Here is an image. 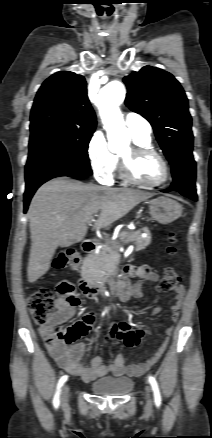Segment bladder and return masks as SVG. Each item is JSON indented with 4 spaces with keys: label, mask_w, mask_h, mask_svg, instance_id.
<instances>
[{
    "label": "bladder",
    "mask_w": 212,
    "mask_h": 438,
    "mask_svg": "<svg viewBox=\"0 0 212 438\" xmlns=\"http://www.w3.org/2000/svg\"><path fill=\"white\" fill-rule=\"evenodd\" d=\"M133 387L130 378L102 377L94 381L90 389L93 393L103 396H120L127 394Z\"/></svg>",
    "instance_id": "obj_1"
}]
</instances>
